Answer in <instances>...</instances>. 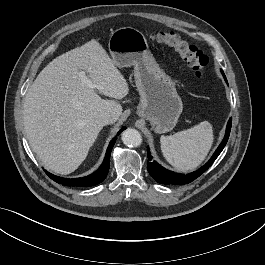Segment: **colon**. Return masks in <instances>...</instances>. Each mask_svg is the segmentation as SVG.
Segmentation results:
<instances>
[{
	"mask_svg": "<svg viewBox=\"0 0 265 265\" xmlns=\"http://www.w3.org/2000/svg\"><path fill=\"white\" fill-rule=\"evenodd\" d=\"M151 39L173 48L182 60L190 67L197 79H206L210 75L209 60L196 47L183 41L171 31H160L151 35Z\"/></svg>",
	"mask_w": 265,
	"mask_h": 265,
	"instance_id": "colon-1",
	"label": "colon"
}]
</instances>
